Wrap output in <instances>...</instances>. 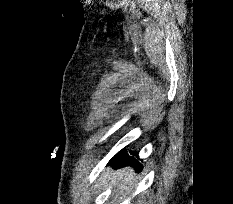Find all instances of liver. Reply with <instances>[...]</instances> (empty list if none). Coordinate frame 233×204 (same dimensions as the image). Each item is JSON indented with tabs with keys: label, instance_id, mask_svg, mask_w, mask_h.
<instances>
[{
	"label": "liver",
	"instance_id": "1",
	"mask_svg": "<svg viewBox=\"0 0 233 204\" xmlns=\"http://www.w3.org/2000/svg\"><path fill=\"white\" fill-rule=\"evenodd\" d=\"M106 178L114 185V190L124 195H128L135 182V173L132 168L126 167L113 172L108 169L105 173Z\"/></svg>",
	"mask_w": 233,
	"mask_h": 204
}]
</instances>
